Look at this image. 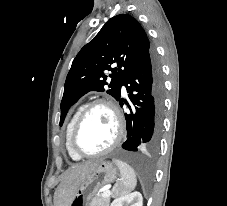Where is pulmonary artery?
I'll use <instances>...</instances> for the list:
<instances>
[{"label": "pulmonary artery", "instance_id": "e3ab8cb5", "mask_svg": "<svg viewBox=\"0 0 227 206\" xmlns=\"http://www.w3.org/2000/svg\"><path fill=\"white\" fill-rule=\"evenodd\" d=\"M122 91H123V92H125V91H126V89H125V87H124V86L122 87Z\"/></svg>", "mask_w": 227, "mask_h": 206}]
</instances>
